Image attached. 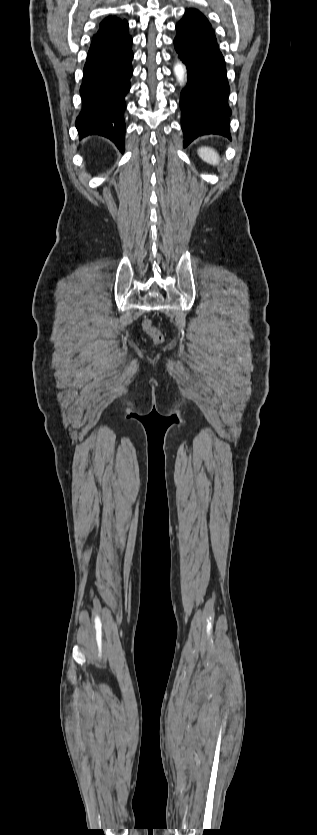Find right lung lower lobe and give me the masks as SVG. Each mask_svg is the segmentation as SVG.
I'll use <instances>...</instances> for the list:
<instances>
[{
  "label": "right lung lower lobe",
  "instance_id": "obj_1",
  "mask_svg": "<svg viewBox=\"0 0 317 835\" xmlns=\"http://www.w3.org/2000/svg\"><path fill=\"white\" fill-rule=\"evenodd\" d=\"M132 38L111 41L99 31L94 35L80 87L82 111L75 126L80 138L101 135L124 151L125 96L133 69Z\"/></svg>",
  "mask_w": 317,
  "mask_h": 835
}]
</instances>
